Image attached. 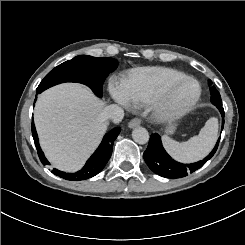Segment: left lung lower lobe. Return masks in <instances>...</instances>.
<instances>
[{
  "mask_svg": "<svg viewBox=\"0 0 245 245\" xmlns=\"http://www.w3.org/2000/svg\"><path fill=\"white\" fill-rule=\"evenodd\" d=\"M211 84L212 82L211 80H209V85ZM210 91H211V102L219 109L222 115V129H223L224 109L222 107L221 96L215 87H211ZM219 141L220 138L218 139L217 144L212 150V152L203 160L192 164H182L173 160L167 154V152L164 150L162 146L160 136L157 133H154L150 137L148 147L144 152L143 157L148 167L154 173L162 177L171 178V179L182 178L201 168L211 157H213V155L215 154L218 148Z\"/></svg>",
  "mask_w": 245,
  "mask_h": 245,
  "instance_id": "0a47b994",
  "label": "left lung lower lobe"
}]
</instances>
